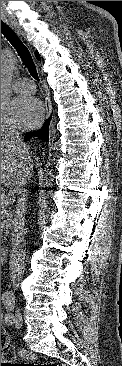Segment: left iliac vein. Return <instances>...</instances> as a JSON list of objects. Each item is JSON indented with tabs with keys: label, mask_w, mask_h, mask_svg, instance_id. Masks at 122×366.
<instances>
[{
	"label": "left iliac vein",
	"mask_w": 122,
	"mask_h": 366,
	"mask_svg": "<svg viewBox=\"0 0 122 366\" xmlns=\"http://www.w3.org/2000/svg\"><path fill=\"white\" fill-rule=\"evenodd\" d=\"M21 322H22L21 314L17 311L14 319V324L16 327L19 328L21 326Z\"/></svg>",
	"instance_id": "obj_1"
}]
</instances>
